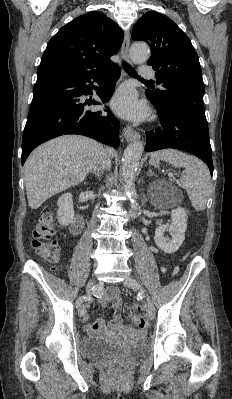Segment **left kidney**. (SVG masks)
Returning a JSON list of instances; mask_svg holds the SVG:
<instances>
[{
    "label": "left kidney",
    "instance_id": "5707ae66",
    "mask_svg": "<svg viewBox=\"0 0 232 399\" xmlns=\"http://www.w3.org/2000/svg\"><path fill=\"white\" fill-rule=\"evenodd\" d=\"M172 223H166V225H158L155 229V243L157 247L166 251V253H173L179 249L181 243L185 239V231L187 227V213L184 207H176L171 209ZM164 231H169L172 235L165 237Z\"/></svg>",
    "mask_w": 232,
    "mask_h": 399
}]
</instances>
